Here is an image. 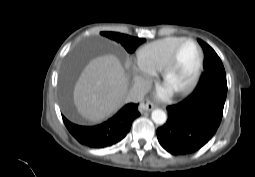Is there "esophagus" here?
I'll list each match as a JSON object with an SVG mask.
<instances>
[{
    "mask_svg": "<svg viewBox=\"0 0 255 177\" xmlns=\"http://www.w3.org/2000/svg\"><path fill=\"white\" fill-rule=\"evenodd\" d=\"M155 108V105L149 101H142L139 105V111L140 113H146L149 112L151 110H153Z\"/></svg>",
    "mask_w": 255,
    "mask_h": 177,
    "instance_id": "esophagus-1",
    "label": "esophagus"
}]
</instances>
